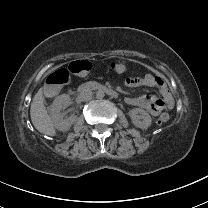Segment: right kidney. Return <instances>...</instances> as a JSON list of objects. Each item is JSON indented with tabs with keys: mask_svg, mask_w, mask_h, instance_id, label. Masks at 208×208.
Here are the masks:
<instances>
[{
	"mask_svg": "<svg viewBox=\"0 0 208 208\" xmlns=\"http://www.w3.org/2000/svg\"><path fill=\"white\" fill-rule=\"evenodd\" d=\"M71 98L63 94L58 96L50 107V113L55 128L59 131L66 132L76 122L77 116L71 115L63 119L62 110L69 105Z\"/></svg>",
	"mask_w": 208,
	"mask_h": 208,
	"instance_id": "1",
	"label": "right kidney"
}]
</instances>
